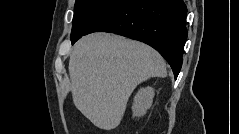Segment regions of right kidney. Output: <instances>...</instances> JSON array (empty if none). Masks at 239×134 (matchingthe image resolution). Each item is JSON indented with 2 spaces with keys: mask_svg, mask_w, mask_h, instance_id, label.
Returning <instances> with one entry per match:
<instances>
[{
  "mask_svg": "<svg viewBox=\"0 0 239 134\" xmlns=\"http://www.w3.org/2000/svg\"><path fill=\"white\" fill-rule=\"evenodd\" d=\"M154 97V89L151 87L142 88L134 97L132 106L133 116H143L151 107Z\"/></svg>",
  "mask_w": 239,
  "mask_h": 134,
  "instance_id": "1",
  "label": "right kidney"
}]
</instances>
